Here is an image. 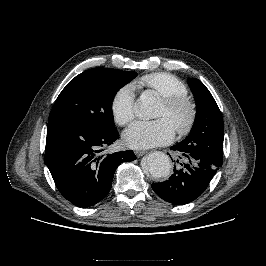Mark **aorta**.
Listing matches in <instances>:
<instances>
[{
	"label": "aorta",
	"mask_w": 266,
	"mask_h": 266,
	"mask_svg": "<svg viewBox=\"0 0 266 266\" xmlns=\"http://www.w3.org/2000/svg\"><path fill=\"white\" fill-rule=\"evenodd\" d=\"M157 99L150 93H143L134 105V113L140 119H150L155 114ZM145 166L153 177H167L171 170L169 157L160 151L146 156Z\"/></svg>",
	"instance_id": "obj_1"
}]
</instances>
